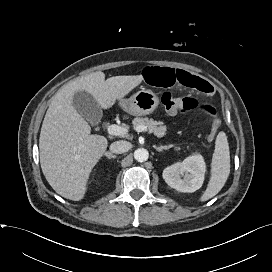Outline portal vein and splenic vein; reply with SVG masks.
Returning a JSON list of instances; mask_svg holds the SVG:
<instances>
[{
	"label": "portal vein and splenic vein",
	"mask_w": 272,
	"mask_h": 272,
	"mask_svg": "<svg viewBox=\"0 0 272 272\" xmlns=\"http://www.w3.org/2000/svg\"><path fill=\"white\" fill-rule=\"evenodd\" d=\"M136 130L138 132H146V131H148V129H147L146 126H138L136 128ZM107 132L110 135L123 136L124 134H126L127 130L124 127H122V126H119V125H116V124H112V125H109L107 127Z\"/></svg>",
	"instance_id": "18ae733b"
}]
</instances>
